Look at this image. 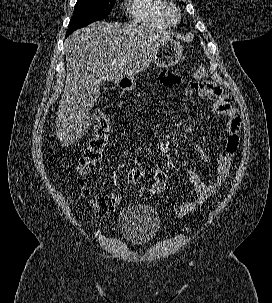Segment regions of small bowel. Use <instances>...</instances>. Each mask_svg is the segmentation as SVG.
Instances as JSON below:
<instances>
[{"instance_id":"c3829d8e","label":"small bowel","mask_w":272,"mask_h":303,"mask_svg":"<svg viewBox=\"0 0 272 303\" xmlns=\"http://www.w3.org/2000/svg\"><path fill=\"white\" fill-rule=\"evenodd\" d=\"M159 80L166 86H174L181 81L178 75L170 72L162 73ZM191 87L201 98L213 101L212 111L215 114L225 117L223 133L226 136V144L224 150L216 159L217 169L212 182L206 183L203 178L193 170L186 171L189 182L198 193V198L195 201L184 202L178 207L176 212L179 217H183L203 205L212 195L218 192L224 184L230 170L231 160L237 152L241 127V120L237 110L233 106L232 98L224 94L216 83L199 81L192 83ZM195 151L202 161L208 162L211 160V156L204 151L201 143L195 145ZM144 175L145 172L141 167H132L127 173V182L135 185L143 179Z\"/></svg>"}]
</instances>
